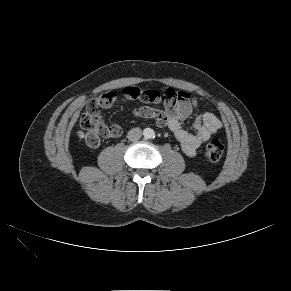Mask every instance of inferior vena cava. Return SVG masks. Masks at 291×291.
Returning a JSON list of instances; mask_svg holds the SVG:
<instances>
[{"mask_svg": "<svg viewBox=\"0 0 291 291\" xmlns=\"http://www.w3.org/2000/svg\"><path fill=\"white\" fill-rule=\"evenodd\" d=\"M141 136H142V130L140 128H132L128 132V135H127L130 141H137L140 139Z\"/></svg>", "mask_w": 291, "mask_h": 291, "instance_id": "obj_1", "label": "inferior vena cava"}]
</instances>
